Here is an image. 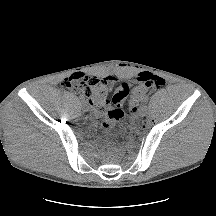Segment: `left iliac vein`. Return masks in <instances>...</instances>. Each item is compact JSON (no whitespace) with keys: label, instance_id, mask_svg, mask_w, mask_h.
Wrapping results in <instances>:
<instances>
[{"label":"left iliac vein","instance_id":"4c4485c4","mask_svg":"<svg viewBox=\"0 0 216 216\" xmlns=\"http://www.w3.org/2000/svg\"><path fill=\"white\" fill-rule=\"evenodd\" d=\"M147 111H148L147 106L143 105L140 107L138 114L140 117H144L147 114Z\"/></svg>","mask_w":216,"mask_h":216}]
</instances>
